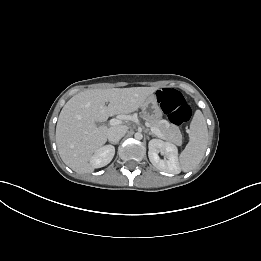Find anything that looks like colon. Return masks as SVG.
<instances>
[{
	"label": "colon",
	"instance_id": "colon-1",
	"mask_svg": "<svg viewBox=\"0 0 261 261\" xmlns=\"http://www.w3.org/2000/svg\"><path fill=\"white\" fill-rule=\"evenodd\" d=\"M157 100L169 120L175 125H181L191 117V109L183 95L171 88L157 92Z\"/></svg>",
	"mask_w": 261,
	"mask_h": 261
}]
</instances>
